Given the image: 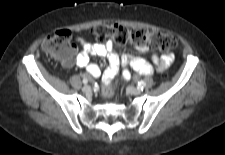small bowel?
<instances>
[{
  "label": "small bowel",
  "mask_w": 225,
  "mask_h": 155,
  "mask_svg": "<svg viewBox=\"0 0 225 155\" xmlns=\"http://www.w3.org/2000/svg\"><path fill=\"white\" fill-rule=\"evenodd\" d=\"M71 43L75 47H82L81 52L77 55L76 65L85 68L87 73L93 77L101 75V69L96 63L90 62V56L98 55L106 57L109 64L103 70V87L109 86L112 88V80L115 75L120 73V66L130 65L135 71L140 74L149 75L154 71H162L166 69L172 62L171 54H164L158 56L153 54L148 62L142 57L123 55L119 56L113 51V43L111 41L106 43H97V38L92 33H85L82 30H76L71 35ZM139 52L145 53L148 51L146 45H137ZM65 65H70V62H65ZM123 78H129L127 70L122 71Z\"/></svg>",
  "instance_id": "1"
}]
</instances>
